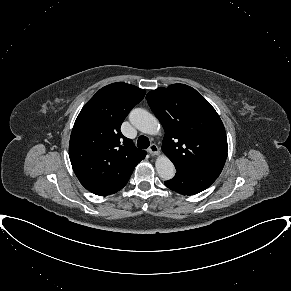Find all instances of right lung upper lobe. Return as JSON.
I'll use <instances>...</instances> for the list:
<instances>
[{
	"label": "right lung upper lobe",
	"mask_w": 291,
	"mask_h": 291,
	"mask_svg": "<svg viewBox=\"0 0 291 291\" xmlns=\"http://www.w3.org/2000/svg\"><path fill=\"white\" fill-rule=\"evenodd\" d=\"M136 86L116 82L101 88L82 108L72 129L69 157L81 184L107 196L122 189L146 152L122 135L130 110L145 96Z\"/></svg>",
	"instance_id": "cb5924a9"
}]
</instances>
